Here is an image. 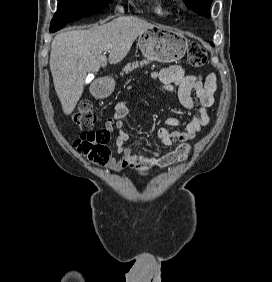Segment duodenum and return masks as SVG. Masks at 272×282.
I'll list each match as a JSON object with an SVG mask.
<instances>
[{
  "label": "duodenum",
  "mask_w": 272,
  "mask_h": 282,
  "mask_svg": "<svg viewBox=\"0 0 272 282\" xmlns=\"http://www.w3.org/2000/svg\"><path fill=\"white\" fill-rule=\"evenodd\" d=\"M109 81L104 78L93 84L91 90L97 99H101L107 93Z\"/></svg>",
  "instance_id": "410a0bca"
}]
</instances>
